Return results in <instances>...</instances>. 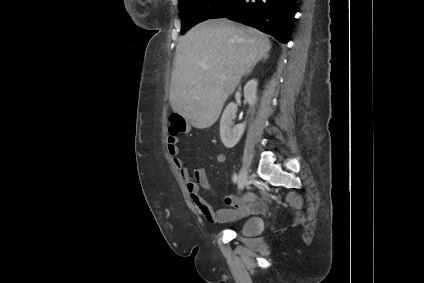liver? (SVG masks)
<instances>
[{
	"label": "liver",
	"mask_w": 424,
	"mask_h": 283,
	"mask_svg": "<svg viewBox=\"0 0 424 283\" xmlns=\"http://www.w3.org/2000/svg\"><path fill=\"white\" fill-rule=\"evenodd\" d=\"M270 50L267 35L241 23L214 19L194 26L176 47L169 97L173 111L195 128L212 126L247 69Z\"/></svg>",
	"instance_id": "liver-1"
}]
</instances>
